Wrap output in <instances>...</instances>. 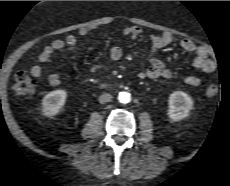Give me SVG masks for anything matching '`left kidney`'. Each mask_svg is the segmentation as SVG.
Instances as JSON below:
<instances>
[{
	"label": "left kidney",
	"mask_w": 230,
	"mask_h": 186,
	"mask_svg": "<svg viewBox=\"0 0 230 186\" xmlns=\"http://www.w3.org/2000/svg\"><path fill=\"white\" fill-rule=\"evenodd\" d=\"M168 116L171 120L179 121L190 114L193 108L192 98L182 91L173 92L168 100Z\"/></svg>",
	"instance_id": "obj_1"
}]
</instances>
